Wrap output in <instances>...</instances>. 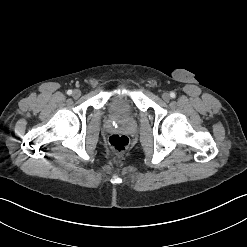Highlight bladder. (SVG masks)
<instances>
[{
	"label": "bladder",
	"mask_w": 247,
	"mask_h": 247,
	"mask_svg": "<svg viewBox=\"0 0 247 247\" xmlns=\"http://www.w3.org/2000/svg\"><path fill=\"white\" fill-rule=\"evenodd\" d=\"M110 109L116 115H125L130 112L131 101L127 95H117L112 98Z\"/></svg>",
	"instance_id": "1"
}]
</instances>
